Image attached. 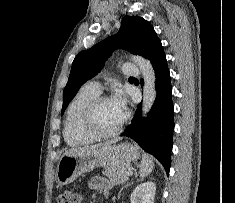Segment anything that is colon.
I'll use <instances>...</instances> for the list:
<instances>
[{
	"label": "colon",
	"instance_id": "colon-1",
	"mask_svg": "<svg viewBox=\"0 0 235 203\" xmlns=\"http://www.w3.org/2000/svg\"><path fill=\"white\" fill-rule=\"evenodd\" d=\"M58 203H81V195L74 190H65L59 195Z\"/></svg>",
	"mask_w": 235,
	"mask_h": 203
}]
</instances>
